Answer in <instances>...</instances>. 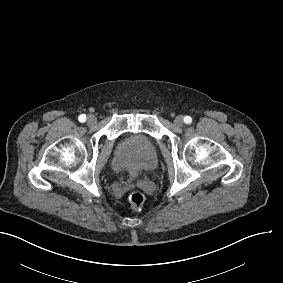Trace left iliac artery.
Segmentation results:
<instances>
[{
  "label": "left iliac artery",
  "mask_w": 283,
  "mask_h": 283,
  "mask_svg": "<svg viewBox=\"0 0 283 283\" xmlns=\"http://www.w3.org/2000/svg\"><path fill=\"white\" fill-rule=\"evenodd\" d=\"M184 122H185L186 124H190V123L192 122V118H191L190 116H185Z\"/></svg>",
  "instance_id": "1"
}]
</instances>
